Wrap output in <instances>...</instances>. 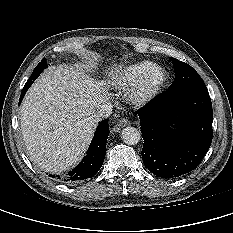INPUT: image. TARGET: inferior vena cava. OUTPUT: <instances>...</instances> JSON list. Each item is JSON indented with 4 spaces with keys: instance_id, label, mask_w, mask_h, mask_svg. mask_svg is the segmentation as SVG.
I'll return each mask as SVG.
<instances>
[{
    "instance_id": "obj_1",
    "label": "inferior vena cava",
    "mask_w": 233,
    "mask_h": 233,
    "mask_svg": "<svg viewBox=\"0 0 233 233\" xmlns=\"http://www.w3.org/2000/svg\"><path fill=\"white\" fill-rule=\"evenodd\" d=\"M113 106L111 103H104L100 106V109L95 114L97 120L108 118L112 114Z\"/></svg>"
}]
</instances>
